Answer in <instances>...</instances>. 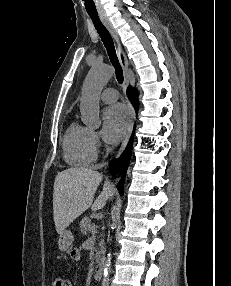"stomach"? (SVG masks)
Returning a JSON list of instances; mask_svg holds the SVG:
<instances>
[{"label": "stomach", "instance_id": "obj_1", "mask_svg": "<svg viewBox=\"0 0 231 286\" xmlns=\"http://www.w3.org/2000/svg\"><path fill=\"white\" fill-rule=\"evenodd\" d=\"M73 241H74V236L71 231L64 230L63 232H61L59 235V240H58V247L60 251L64 252V251L69 250Z\"/></svg>", "mask_w": 231, "mask_h": 286}]
</instances>
